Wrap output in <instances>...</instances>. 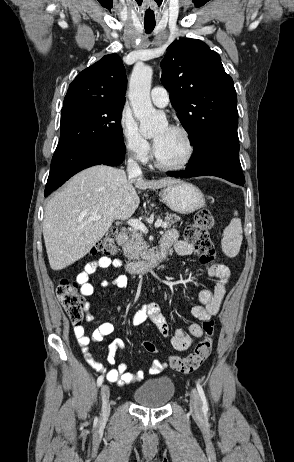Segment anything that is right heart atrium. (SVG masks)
Masks as SVG:
<instances>
[{
    "label": "right heart atrium",
    "instance_id": "1",
    "mask_svg": "<svg viewBox=\"0 0 294 462\" xmlns=\"http://www.w3.org/2000/svg\"><path fill=\"white\" fill-rule=\"evenodd\" d=\"M119 130L127 153L139 162H147L152 151L151 145L128 108L121 111Z\"/></svg>",
    "mask_w": 294,
    "mask_h": 462
}]
</instances>
